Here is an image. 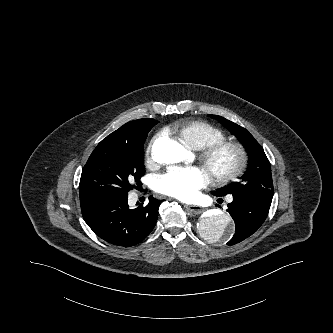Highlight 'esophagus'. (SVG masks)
I'll return each instance as SVG.
<instances>
[{
	"mask_svg": "<svg viewBox=\"0 0 333 333\" xmlns=\"http://www.w3.org/2000/svg\"><path fill=\"white\" fill-rule=\"evenodd\" d=\"M184 207L191 213L195 214V215H199L201 214L204 209L200 206L197 205H184Z\"/></svg>",
	"mask_w": 333,
	"mask_h": 333,
	"instance_id": "1",
	"label": "esophagus"
}]
</instances>
